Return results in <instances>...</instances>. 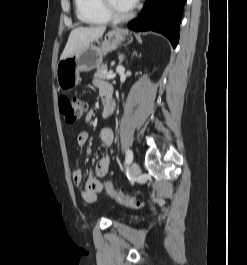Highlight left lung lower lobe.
<instances>
[{"label": "left lung lower lobe", "mask_w": 247, "mask_h": 265, "mask_svg": "<svg viewBox=\"0 0 247 265\" xmlns=\"http://www.w3.org/2000/svg\"><path fill=\"white\" fill-rule=\"evenodd\" d=\"M185 2L186 0H146L141 14L128 27L134 31L159 32L176 47Z\"/></svg>", "instance_id": "obj_1"}]
</instances>
